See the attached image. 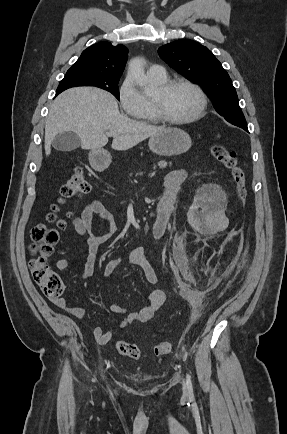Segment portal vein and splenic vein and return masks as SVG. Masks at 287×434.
Here are the masks:
<instances>
[{"label": "portal vein and splenic vein", "instance_id": "1", "mask_svg": "<svg viewBox=\"0 0 287 434\" xmlns=\"http://www.w3.org/2000/svg\"><path fill=\"white\" fill-rule=\"evenodd\" d=\"M107 135H110V136H112L113 134H112L111 132H108V133H107Z\"/></svg>", "mask_w": 287, "mask_h": 434}]
</instances>
